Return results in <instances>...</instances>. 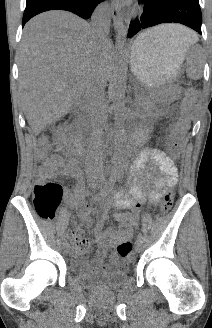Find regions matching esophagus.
<instances>
[{"mask_svg": "<svg viewBox=\"0 0 212 328\" xmlns=\"http://www.w3.org/2000/svg\"><path fill=\"white\" fill-rule=\"evenodd\" d=\"M111 16L113 19V26L116 32L122 29L123 22L120 16V4L118 0H112L111 3Z\"/></svg>", "mask_w": 212, "mask_h": 328, "instance_id": "34e87169", "label": "esophagus"}]
</instances>
